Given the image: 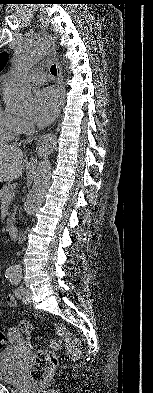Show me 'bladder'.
<instances>
[{"label":"bladder","instance_id":"obj_1","mask_svg":"<svg viewBox=\"0 0 153 393\" xmlns=\"http://www.w3.org/2000/svg\"><path fill=\"white\" fill-rule=\"evenodd\" d=\"M21 372L22 366L16 360L15 349L7 347L0 350V381L17 384L21 380Z\"/></svg>","mask_w":153,"mask_h":393}]
</instances>
